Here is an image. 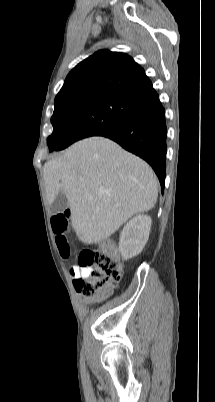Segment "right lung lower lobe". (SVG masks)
<instances>
[{"label": "right lung lower lobe", "mask_w": 215, "mask_h": 402, "mask_svg": "<svg viewBox=\"0 0 215 402\" xmlns=\"http://www.w3.org/2000/svg\"><path fill=\"white\" fill-rule=\"evenodd\" d=\"M100 136L117 142L124 149L150 164L159 178L163 192L167 127L165 110L158 95L141 103L120 126Z\"/></svg>", "instance_id": "obj_1"}]
</instances>
